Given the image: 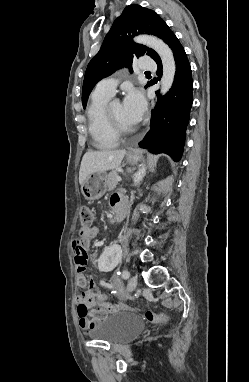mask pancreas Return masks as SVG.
Segmentation results:
<instances>
[{
  "label": "pancreas",
  "instance_id": "cf45deb5",
  "mask_svg": "<svg viewBox=\"0 0 249 382\" xmlns=\"http://www.w3.org/2000/svg\"><path fill=\"white\" fill-rule=\"evenodd\" d=\"M118 176V171L113 170L111 171L106 178L105 186L108 188V190H113L116 185L118 184V181L116 180V177Z\"/></svg>",
  "mask_w": 249,
  "mask_h": 382
}]
</instances>
